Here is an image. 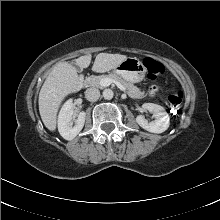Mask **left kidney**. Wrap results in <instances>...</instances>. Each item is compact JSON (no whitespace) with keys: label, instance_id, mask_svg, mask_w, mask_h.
I'll return each mask as SVG.
<instances>
[{"label":"left kidney","instance_id":"obj_1","mask_svg":"<svg viewBox=\"0 0 220 220\" xmlns=\"http://www.w3.org/2000/svg\"><path fill=\"white\" fill-rule=\"evenodd\" d=\"M143 110L153 113L155 119L153 121L146 120L142 115L136 117V122L143 129L152 133H162L166 131L170 124V118L166 110L160 105L154 103H144Z\"/></svg>","mask_w":220,"mask_h":220}]
</instances>
